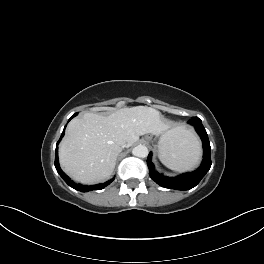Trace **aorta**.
<instances>
[{
    "label": "aorta",
    "mask_w": 264,
    "mask_h": 264,
    "mask_svg": "<svg viewBox=\"0 0 264 264\" xmlns=\"http://www.w3.org/2000/svg\"><path fill=\"white\" fill-rule=\"evenodd\" d=\"M148 148L145 145H138L133 148L132 154L136 157L145 158L148 156Z\"/></svg>",
    "instance_id": "obj_1"
}]
</instances>
